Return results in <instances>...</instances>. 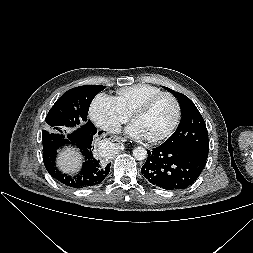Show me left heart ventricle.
Returning <instances> with one entry per match:
<instances>
[{
    "label": "left heart ventricle",
    "instance_id": "b2bd125f",
    "mask_svg": "<svg viewBox=\"0 0 253 253\" xmlns=\"http://www.w3.org/2000/svg\"><path fill=\"white\" fill-rule=\"evenodd\" d=\"M175 118V106L169 97H162L143 115L134 121L148 138L162 135Z\"/></svg>",
    "mask_w": 253,
    "mask_h": 253
}]
</instances>
